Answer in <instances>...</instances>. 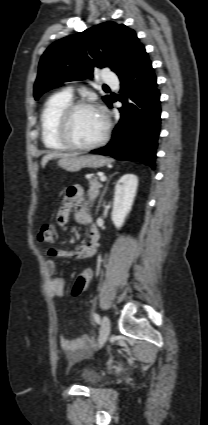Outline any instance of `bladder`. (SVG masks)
I'll list each match as a JSON object with an SVG mask.
<instances>
[{"label": "bladder", "mask_w": 208, "mask_h": 425, "mask_svg": "<svg viewBox=\"0 0 208 425\" xmlns=\"http://www.w3.org/2000/svg\"><path fill=\"white\" fill-rule=\"evenodd\" d=\"M81 378L86 386H94L98 384L100 380L99 373L91 368H85L81 373Z\"/></svg>", "instance_id": "bladder-1"}]
</instances>
